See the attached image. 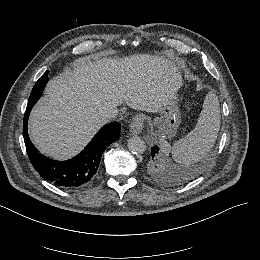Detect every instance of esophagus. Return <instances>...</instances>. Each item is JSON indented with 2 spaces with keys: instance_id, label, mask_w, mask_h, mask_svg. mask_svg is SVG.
Listing matches in <instances>:
<instances>
[{
  "instance_id": "obj_1",
  "label": "esophagus",
  "mask_w": 260,
  "mask_h": 260,
  "mask_svg": "<svg viewBox=\"0 0 260 260\" xmlns=\"http://www.w3.org/2000/svg\"><path fill=\"white\" fill-rule=\"evenodd\" d=\"M145 115L137 114L133 117L132 122L129 125V130L132 134H139L144 128Z\"/></svg>"
}]
</instances>
